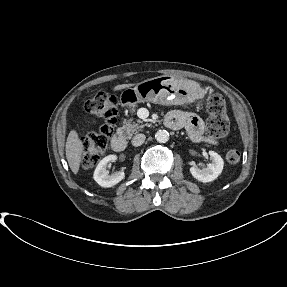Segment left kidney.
Wrapping results in <instances>:
<instances>
[{"mask_svg":"<svg viewBox=\"0 0 287 287\" xmlns=\"http://www.w3.org/2000/svg\"><path fill=\"white\" fill-rule=\"evenodd\" d=\"M209 155L212 162L206 167L199 164L202 168L197 165L190 168L192 176L204 183L215 180L222 173L224 166V161L218 153L209 151Z\"/></svg>","mask_w":287,"mask_h":287,"instance_id":"obj_1","label":"left kidney"}]
</instances>
